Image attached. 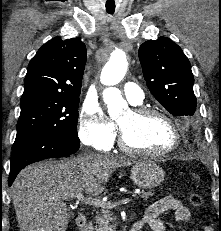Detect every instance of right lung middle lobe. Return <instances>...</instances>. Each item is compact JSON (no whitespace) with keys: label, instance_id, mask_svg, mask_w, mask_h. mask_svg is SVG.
<instances>
[{"label":"right lung middle lobe","instance_id":"obj_1","mask_svg":"<svg viewBox=\"0 0 221 231\" xmlns=\"http://www.w3.org/2000/svg\"><path fill=\"white\" fill-rule=\"evenodd\" d=\"M79 97L37 96L20 102L14 145L43 134L77 137Z\"/></svg>","mask_w":221,"mask_h":231}]
</instances>
